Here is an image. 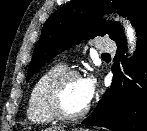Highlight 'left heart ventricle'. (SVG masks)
<instances>
[{"label": "left heart ventricle", "mask_w": 147, "mask_h": 131, "mask_svg": "<svg viewBox=\"0 0 147 131\" xmlns=\"http://www.w3.org/2000/svg\"><path fill=\"white\" fill-rule=\"evenodd\" d=\"M81 80L77 78L71 79L63 87L62 105L68 113H77L87 106L82 91Z\"/></svg>", "instance_id": "1"}]
</instances>
